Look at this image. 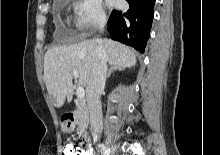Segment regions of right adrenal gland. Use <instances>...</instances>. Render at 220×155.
Returning <instances> with one entry per match:
<instances>
[{
    "instance_id": "2a0ac1e0",
    "label": "right adrenal gland",
    "mask_w": 220,
    "mask_h": 155,
    "mask_svg": "<svg viewBox=\"0 0 220 155\" xmlns=\"http://www.w3.org/2000/svg\"><path fill=\"white\" fill-rule=\"evenodd\" d=\"M122 69H123V68H122V67H119V66H111L110 69H109V71H108V74H107V77H106V78L108 79L113 71L122 70Z\"/></svg>"
}]
</instances>
